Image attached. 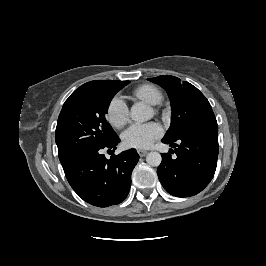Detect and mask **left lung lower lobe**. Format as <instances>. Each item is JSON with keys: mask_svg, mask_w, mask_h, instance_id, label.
<instances>
[{"mask_svg": "<svg viewBox=\"0 0 266 266\" xmlns=\"http://www.w3.org/2000/svg\"><path fill=\"white\" fill-rule=\"evenodd\" d=\"M176 141L180 143L176 144ZM175 148L173 159L162 154L158 178L171 195L189 197L201 192L212 180L219 151L217 123L198 126L175 141L163 140Z\"/></svg>", "mask_w": 266, "mask_h": 266, "instance_id": "1", "label": "left lung lower lobe"}]
</instances>
